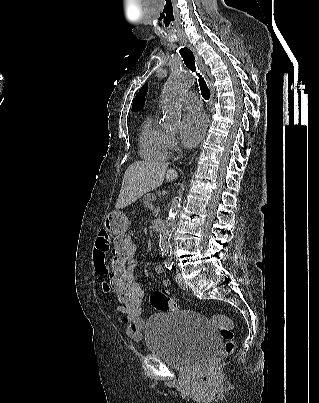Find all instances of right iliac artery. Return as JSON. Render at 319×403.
Instances as JSON below:
<instances>
[{
    "instance_id": "1",
    "label": "right iliac artery",
    "mask_w": 319,
    "mask_h": 403,
    "mask_svg": "<svg viewBox=\"0 0 319 403\" xmlns=\"http://www.w3.org/2000/svg\"><path fill=\"white\" fill-rule=\"evenodd\" d=\"M165 267L168 268L169 270H171L173 267V263H171V262L165 263Z\"/></svg>"
}]
</instances>
